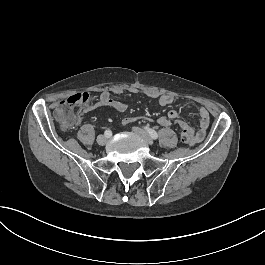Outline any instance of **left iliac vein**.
Returning <instances> with one entry per match:
<instances>
[{
  "label": "left iliac vein",
  "mask_w": 265,
  "mask_h": 265,
  "mask_svg": "<svg viewBox=\"0 0 265 265\" xmlns=\"http://www.w3.org/2000/svg\"><path fill=\"white\" fill-rule=\"evenodd\" d=\"M133 131L139 135L143 140L144 142L147 144V145H152L153 144V141L152 139L147 135V133L145 131H143L142 129L138 128V127H134L133 128Z\"/></svg>",
  "instance_id": "1"
}]
</instances>
